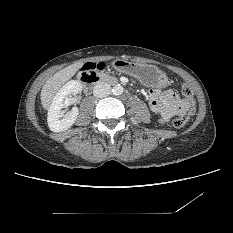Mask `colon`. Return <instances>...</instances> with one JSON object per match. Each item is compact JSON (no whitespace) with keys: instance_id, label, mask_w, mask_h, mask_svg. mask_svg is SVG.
I'll return each mask as SVG.
<instances>
[{"instance_id":"colon-1","label":"colon","mask_w":233,"mask_h":233,"mask_svg":"<svg viewBox=\"0 0 233 233\" xmlns=\"http://www.w3.org/2000/svg\"><path fill=\"white\" fill-rule=\"evenodd\" d=\"M105 68V63L104 62H98V63H85L81 71L82 73H90V74H96L97 71H101ZM181 93L183 98L189 103L190 109L177 117L174 121L173 124L176 128H182L186 125L188 120L191 118L192 113H193V105H194V93L191 90V88L187 84H182L181 85Z\"/></svg>"}]
</instances>
